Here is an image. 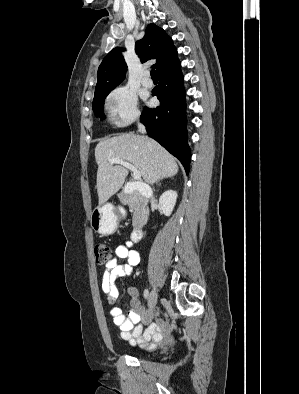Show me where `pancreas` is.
Masks as SVG:
<instances>
[{
	"label": "pancreas",
	"instance_id": "obj_1",
	"mask_svg": "<svg viewBox=\"0 0 299 394\" xmlns=\"http://www.w3.org/2000/svg\"><path fill=\"white\" fill-rule=\"evenodd\" d=\"M125 204H128L130 209L133 211V226H136L139 217L146 213L145 206L137 193L131 195L130 197H125L123 199Z\"/></svg>",
	"mask_w": 299,
	"mask_h": 394
}]
</instances>
